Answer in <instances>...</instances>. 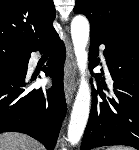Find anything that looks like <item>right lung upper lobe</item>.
Returning <instances> with one entry per match:
<instances>
[{
    "instance_id": "cb5924a9",
    "label": "right lung upper lobe",
    "mask_w": 139,
    "mask_h": 150,
    "mask_svg": "<svg viewBox=\"0 0 139 150\" xmlns=\"http://www.w3.org/2000/svg\"><path fill=\"white\" fill-rule=\"evenodd\" d=\"M53 0H0V45L27 51L53 30Z\"/></svg>"
}]
</instances>
